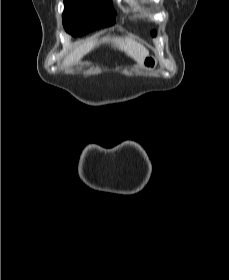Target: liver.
I'll use <instances>...</instances> for the list:
<instances>
[{"label":"liver","instance_id":"1","mask_svg":"<svg viewBox=\"0 0 229 280\" xmlns=\"http://www.w3.org/2000/svg\"><path fill=\"white\" fill-rule=\"evenodd\" d=\"M101 43H111L115 48L124 51L128 56L133 58L137 63L142 66L144 59L149 56V51L140 43L135 41L131 36L115 37L106 36L101 39H91L79 47L75 48L64 60V66H70L79 62V60L96 46Z\"/></svg>","mask_w":229,"mask_h":280}]
</instances>
